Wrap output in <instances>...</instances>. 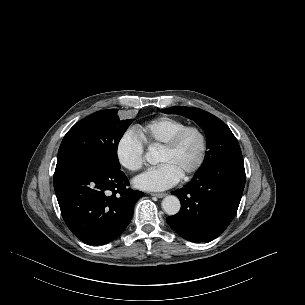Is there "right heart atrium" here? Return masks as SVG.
I'll use <instances>...</instances> for the list:
<instances>
[{
	"label": "right heart atrium",
	"mask_w": 305,
	"mask_h": 305,
	"mask_svg": "<svg viewBox=\"0 0 305 305\" xmlns=\"http://www.w3.org/2000/svg\"><path fill=\"white\" fill-rule=\"evenodd\" d=\"M115 153L118 163L127 171L137 172L145 164V145L134 130L126 131L120 136Z\"/></svg>",
	"instance_id": "d8ad5b80"
}]
</instances>
